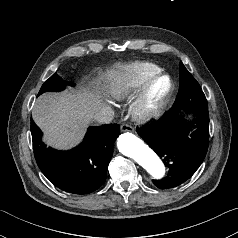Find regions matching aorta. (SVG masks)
<instances>
[{"label":"aorta","mask_w":238,"mask_h":238,"mask_svg":"<svg viewBox=\"0 0 238 238\" xmlns=\"http://www.w3.org/2000/svg\"><path fill=\"white\" fill-rule=\"evenodd\" d=\"M117 147L123 155L136 161L154 179H161L165 175L166 169L162 160L134 134H121L117 140Z\"/></svg>","instance_id":"obj_1"}]
</instances>
